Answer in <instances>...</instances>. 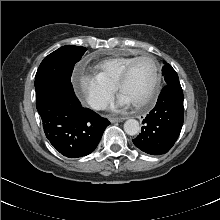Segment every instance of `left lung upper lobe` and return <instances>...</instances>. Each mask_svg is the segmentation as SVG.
<instances>
[{"label": "left lung upper lobe", "instance_id": "left-lung-upper-lobe-1", "mask_svg": "<svg viewBox=\"0 0 220 220\" xmlns=\"http://www.w3.org/2000/svg\"><path fill=\"white\" fill-rule=\"evenodd\" d=\"M162 74L164 76L166 84L179 82L178 75L171 65L165 64L162 68Z\"/></svg>", "mask_w": 220, "mask_h": 220}]
</instances>
